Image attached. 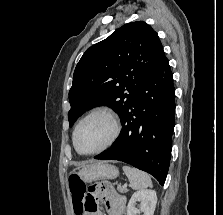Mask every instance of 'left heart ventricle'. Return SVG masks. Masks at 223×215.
Segmentation results:
<instances>
[{"label": "left heart ventricle", "instance_id": "left-heart-ventricle-1", "mask_svg": "<svg viewBox=\"0 0 223 215\" xmlns=\"http://www.w3.org/2000/svg\"><path fill=\"white\" fill-rule=\"evenodd\" d=\"M112 134V124L104 116H94L82 123L76 134L79 151L88 153L102 147Z\"/></svg>", "mask_w": 223, "mask_h": 215}]
</instances>
